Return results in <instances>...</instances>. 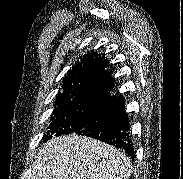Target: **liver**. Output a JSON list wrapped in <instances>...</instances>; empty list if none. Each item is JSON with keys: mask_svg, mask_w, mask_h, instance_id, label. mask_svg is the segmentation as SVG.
Returning <instances> with one entry per match:
<instances>
[{"mask_svg": "<svg viewBox=\"0 0 183 179\" xmlns=\"http://www.w3.org/2000/svg\"><path fill=\"white\" fill-rule=\"evenodd\" d=\"M131 168L129 158L109 144L64 135L39 149L31 179H127Z\"/></svg>", "mask_w": 183, "mask_h": 179, "instance_id": "liver-1", "label": "liver"}]
</instances>
